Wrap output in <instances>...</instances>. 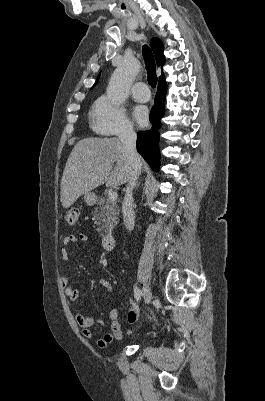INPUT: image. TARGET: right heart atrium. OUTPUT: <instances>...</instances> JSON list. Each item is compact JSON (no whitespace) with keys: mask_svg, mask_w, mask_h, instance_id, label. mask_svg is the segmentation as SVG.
<instances>
[{"mask_svg":"<svg viewBox=\"0 0 265 401\" xmlns=\"http://www.w3.org/2000/svg\"><path fill=\"white\" fill-rule=\"evenodd\" d=\"M93 121L97 129L106 135L123 137L133 133V123L124 108L108 96H102L97 101Z\"/></svg>","mask_w":265,"mask_h":401,"instance_id":"d8ad5b80","label":"right heart atrium"}]
</instances>
